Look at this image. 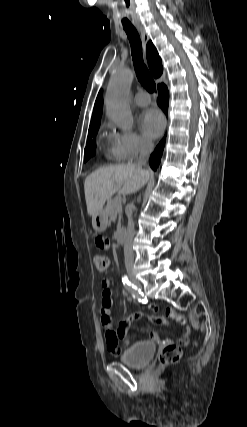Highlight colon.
<instances>
[{"label": "colon", "mask_w": 247, "mask_h": 427, "mask_svg": "<svg viewBox=\"0 0 247 427\" xmlns=\"http://www.w3.org/2000/svg\"><path fill=\"white\" fill-rule=\"evenodd\" d=\"M94 265L99 273H105L109 267V259L105 255H96L94 257ZM181 355L182 350L180 346L167 344L161 350L159 360L162 364H171L177 362L181 358Z\"/></svg>", "instance_id": "colon-1"}]
</instances>
